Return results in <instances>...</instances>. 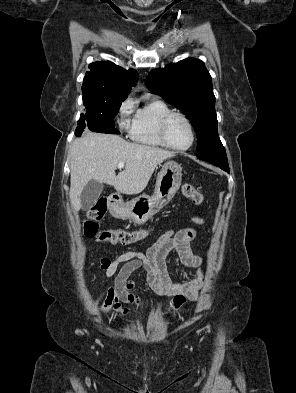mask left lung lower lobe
<instances>
[{
	"label": "left lung lower lobe",
	"instance_id": "1",
	"mask_svg": "<svg viewBox=\"0 0 296 393\" xmlns=\"http://www.w3.org/2000/svg\"><path fill=\"white\" fill-rule=\"evenodd\" d=\"M229 173L228 161H208Z\"/></svg>",
	"mask_w": 296,
	"mask_h": 393
}]
</instances>
